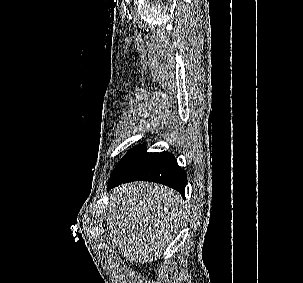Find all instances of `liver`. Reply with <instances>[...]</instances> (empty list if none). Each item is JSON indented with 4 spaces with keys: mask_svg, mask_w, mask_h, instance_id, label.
Returning a JSON list of instances; mask_svg holds the SVG:
<instances>
[{
    "mask_svg": "<svg viewBox=\"0 0 303 283\" xmlns=\"http://www.w3.org/2000/svg\"><path fill=\"white\" fill-rule=\"evenodd\" d=\"M109 199L107 228L130 262L151 263L159 258L185 217L180 194L160 184L121 185Z\"/></svg>",
    "mask_w": 303,
    "mask_h": 283,
    "instance_id": "1",
    "label": "liver"
}]
</instances>
